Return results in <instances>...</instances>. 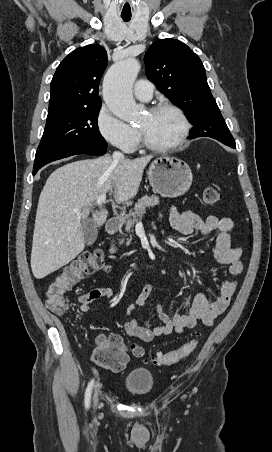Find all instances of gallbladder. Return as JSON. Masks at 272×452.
<instances>
[{"mask_svg":"<svg viewBox=\"0 0 272 452\" xmlns=\"http://www.w3.org/2000/svg\"><path fill=\"white\" fill-rule=\"evenodd\" d=\"M97 224L91 219H86L83 221L82 233L84 241L87 245H91L97 238Z\"/></svg>","mask_w":272,"mask_h":452,"instance_id":"gallbladder-1","label":"gallbladder"}]
</instances>
